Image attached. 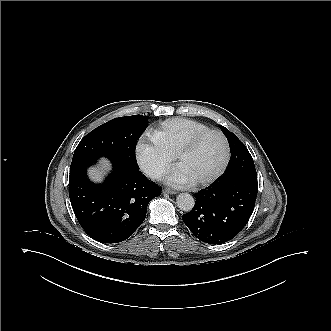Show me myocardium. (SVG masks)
<instances>
[{
    "instance_id": "f54148a6",
    "label": "myocardium",
    "mask_w": 331,
    "mask_h": 331,
    "mask_svg": "<svg viewBox=\"0 0 331 331\" xmlns=\"http://www.w3.org/2000/svg\"><path fill=\"white\" fill-rule=\"evenodd\" d=\"M209 135H216L221 139L223 148H224L223 160H222L221 165L219 166V168L217 169V171L214 174H212L211 176H209L207 178L194 180L193 184L195 186L207 185V184H210V183L214 182L215 180H217L223 174V172L225 171V169L228 165V162H229L230 151H229V145H228L226 137L224 136V134L221 131L215 130V129H210V130L203 131V132L197 134L196 136L192 137L180 148V150L177 154L176 165L180 166V163H181L184 155L188 151H190L192 148H194L199 141H201L202 139H204L205 137H207Z\"/></svg>"
}]
</instances>
